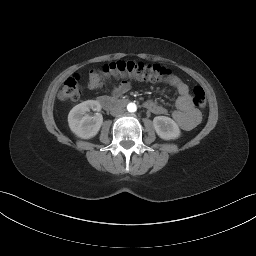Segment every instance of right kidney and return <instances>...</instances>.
<instances>
[{"instance_id": "obj_1", "label": "right kidney", "mask_w": 256, "mask_h": 256, "mask_svg": "<svg viewBox=\"0 0 256 256\" xmlns=\"http://www.w3.org/2000/svg\"><path fill=\"white\" fill-rule=\"evenodd\" d=\"M91 109L97 112L94 116L88 114ZM100 110L101 105L95 100H87L73 107L68 114V124L71 131L82 139L94 137L103 123Z\"/></svg>"}]
</instances>
